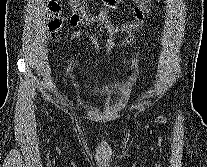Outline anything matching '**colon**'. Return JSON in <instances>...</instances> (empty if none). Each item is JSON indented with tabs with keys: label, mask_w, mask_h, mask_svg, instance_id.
<instances>
[{
	"label": "colon",
	"mask_w": 207,
	"mask_h": 167,
	"mask_svg": "<svg viewBox=\"0 0 207 167\" xmlns=\"http://www.w3.org/2000/svg\"><path fill=\"white\" fill-rule=\"evenodd\" d=\"M49 22L48 28L51 32L52 37L56 38L65 24V14L60 5L55 1L50 2L49 6Z\"/></svg>",
	"instance_id": "obj_1"
}]
</instances>
